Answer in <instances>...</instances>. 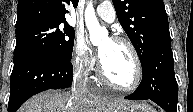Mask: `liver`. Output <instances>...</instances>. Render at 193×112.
<instances>
[{
  "label": "liver",
  "instance_id": "6515ba94",
  "mask_svg": "<svg viewBox=\"0 0 193 112\" xmlns=\"http://www.w3.org/2000/svg\"><path fill=\"white\" fill-rule=\"evenodd\" d=\"M131 103L123 99H108L90 93L44 91L26 101L18 112H111Z\"/></svg>",
  "mask_w": 193,
  "mask_h": 112
}]
</instances>
